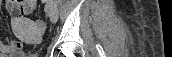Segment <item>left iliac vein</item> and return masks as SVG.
<instances>
[{"label":"left iliac vein","instance_id":"obj_1","mask_svg":"<svg viewBox=\"0 0 172 57\" xmlns=\"http://www.w3.org/2000/svg\"><path fill=\"white\" fill-rule=\"evenodd\" d=\"M46 9L51 22L55 23L58 19V9L54 1L48 0Z\"/></svg>","mask_w":172,"mask_h":57}]
</instances>
